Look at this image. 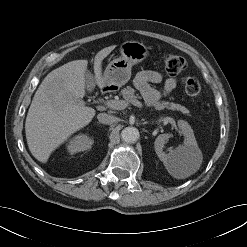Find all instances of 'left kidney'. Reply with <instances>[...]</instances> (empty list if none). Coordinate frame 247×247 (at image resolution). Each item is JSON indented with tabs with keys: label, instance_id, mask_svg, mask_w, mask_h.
Wrapping results in <instances>:
<instances>
[{
	"label": "left kidney",
	"instance_id": "obj_1",
	"mask_svg": "<svg viewBox=\"0 0 247 247\" xmlns=\"http://www.w3.org/2000/svg\"><path fill=\"white\" fill-rule=\"evenodd\" d=\"M179 133L184 136V144L178 146L176 149L171 150L168 154L163 151L164 144L172 137V134H160L154 143L155 152L165 164L177 162L185 159H193L198 156L199 148L190 125L181 120L178 122Z\"/></svg>",
	"mask_w": 247,
	"mask_h": 247
}]
</instances>
